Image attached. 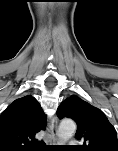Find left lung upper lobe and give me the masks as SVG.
Wrapping results in <instances>:
<instances>
[{
	"label": "left lung upper lobe",
	"mask_w": 118,
	"mask_h": 151,
	"mask_svg": "<svg viewBox=\"0 0 118 151\" xmlns=\"http://www.w3.org/2000/svg\"><path fill=\"white\" fill-rule=\"evenodd\" d=\"M57 115L76 122V138L84 143L78 146L80 151H118L116 130L105 114L78 96L72 95L62 101Z\"/></svg>",
	"instance_id": "left-lung-upper-lobe-1"
}]
</instances>
